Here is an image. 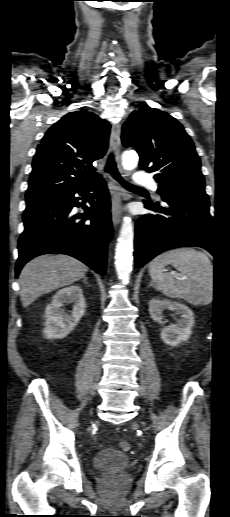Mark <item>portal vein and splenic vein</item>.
Wrapping results in <instances>:
<instances>
[{
	"label": "portal vein and splenic vein",
	"instance_id": "1",
	"mask_svg": "<svg viewBox=\"0 0 230 517\" xmlns=\"http://www.w3.org/2000/svg\"><path fill=\"white\" fill-rule=\"evenodd\" d=\"M182 279H185V276H182Z\"/></svg>",
	"mask_w": 230,
	"mask_h": 517
}]
</instances>
